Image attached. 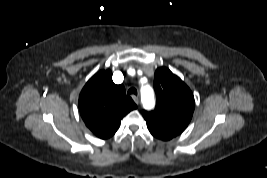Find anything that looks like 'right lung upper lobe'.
Wrapping results in <instances>:
<instances>
[{
	"label": "right lung upper lobe",
	"instance_id": "right-lung-upper-lobe-1",
	"mask_svg": "<svg viewBox=\"0 0 267 178\" xmlns=\"http://www.w3.org/2000/svg\"><path fill=\"white\" fill-rule=\"evenodd\" d=\"M137 106L122 84L112 81L110 70L97 72L83 87L79 110L85 125L101 139L114 135L121 119Z\"/></svg>",
	"mask_w": 267,
	"mask_h": 178
}]
</instances>
